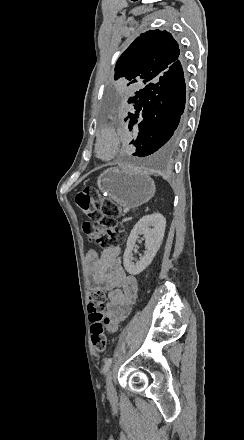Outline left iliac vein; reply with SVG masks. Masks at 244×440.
I'll return each instance as SVG.
<instances>
[{
  "instance_id": "1",
  "label": "left iliac vein",
  "mask_w": 244,
  "mask_h": 440,
  "mask_svg": "<svg viewBox=\"0 0 244 440\" xmlns=\"http://www.w3.org/2000/svg\"><path fill=\"white\" fill-rule=\"evenodd\" d=\"M113 370H110L107 374L106 378V388H107V395L110 401H112L116 396V390L113 386Z\"/></svg>"
}]
</instances>
